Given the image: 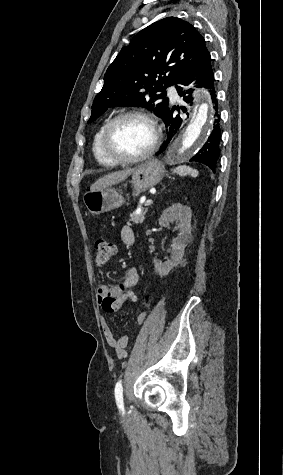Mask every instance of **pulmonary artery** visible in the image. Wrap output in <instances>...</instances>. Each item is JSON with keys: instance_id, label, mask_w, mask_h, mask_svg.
Masks as SVG:
<instances>
[{"instance_id": "pulmonary-artery-1", "label": "pulmonary artery", "mask_w": 283, "mask_h": 475, "mask_svg": "<svg viewBox=\"0 0 283 475\" xmlns=\"http://www.w3.org/2000/svg\"><path fill=\"white\" fill-rule=\"evenodd\" d=\"M166 94L170 96L172 100L177 99V89L175 87H168L166 89Z\"/></svg>"}]
</instances>
